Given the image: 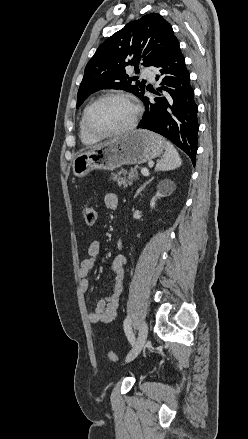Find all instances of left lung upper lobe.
Instances as JSON below:
<instances>
[{"instance_id":"left-lung-upper-lobe-1","label":"left lung upper lobe","mask_w":248,"mask_h":439,"mask_svg":"<svg viewBox=\"0 0 248 439\" xmlns=\"http://www.w3.org/2000/svg\"><path fill=\"white\" fill-rule=\"evenodd\" d=\"M176 41L171 25L157 13L129 22L105 40L86 65L76 107L101 89H123L141 98L146 81L133 85L136 79L125 67L134 65L136 72L140 63L155 67Z\"/></svg>"}]
</instances>
